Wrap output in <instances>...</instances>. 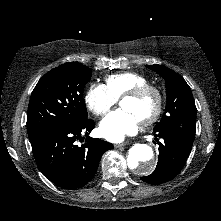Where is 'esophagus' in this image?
<instances>
[{
	"instance_id": "obj_1",
	"label": "esophagus",
	"mask_w": 221,
	"mask_h": 221,
	"mask_svg": "<svg viewBox=\"0 0 221 221\" xmlns=\"http://www.w3.org/2000/svg\"><path fill=\"white\" fill-rule=\"evenodd\" d=\"M129 144V142H124V143H120V144H115L114 147L115 148H121V147H124L125 145Z\"/></svg>"
}]
</instances>
